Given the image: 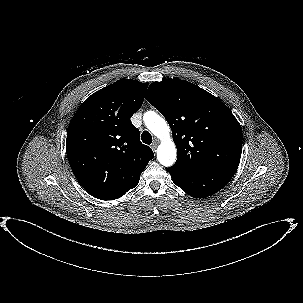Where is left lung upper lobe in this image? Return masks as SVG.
I'll use <instances>...</instances> for the list:
<instances>
[{
	"instance_id": "left-lung-upper-lobe-1",
	"label": "left lung upper lobe",
	"mask_w": 303,
	"mask_h": 303,
	"mask_svg": "<svg viewBox=\"0 0 303 303\" xmlns=\"http://www.w3.org/2000/svg\"><path fill=\"white\" fill-rule=\"evenodd\" d=\"M146 99L171 127L178 156L173 166L187 170H237L242 128L217 97L174 78L153 82Z\"/></svg>"
}]
</instances>
